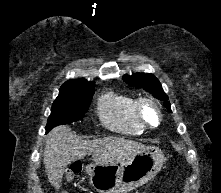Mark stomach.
I'll use <instances>...</instances> for the list:
<instances>
[{"instance_id":"stomach-1","label":"stomach","mask_w":221,"mask_h":193,"mask_svg":"<svg viewBox=\"0 0 221 193\" xmlns=\"http://www.w3.org/2000/svg\"><path fill=\"white\" fill-rule=\"evenodd\" d=\"M165 157L158 147H145L120 165L90 164L85 171L99 193H127L151 180Z\"/></svg>"}]
</instances>
